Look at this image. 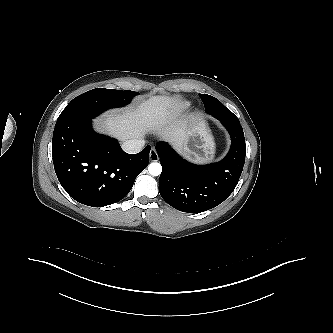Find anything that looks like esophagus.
Here are the masks:
<instances>
[{
	"label": "esophagus",
	"mask_w": 333,
	"mask_h": 333,
	"mask_svg": "<svg viewBox=\"0 0 333 333\" xmlns=\"http://www.w3.org/2000/svg\"><path fill=\"white\" fill-rule=\"evenodd\" d=\"M149 158H150V160L153 161V162L159 160L158 153H157V151H156L154 148H152V149L150 150Z\"/></svg>",
	"instance_id": "34e87169"
}]
</instances>
